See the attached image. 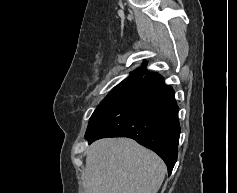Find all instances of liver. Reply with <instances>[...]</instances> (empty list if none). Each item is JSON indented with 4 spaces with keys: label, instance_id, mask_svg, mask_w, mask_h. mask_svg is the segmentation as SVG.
<instances>
[{
    "label": "liver",
    "instance_id": "obj_1",
    "mask_svg": "<svg viewBox=\"0 0 237 193\" xmlns=\"http://www.w3.org/2000/svg\"><path fill=\"white\" fill-rule=\"evenodd\" d=\"M166 166L153 151L129 138H107L86 150L85 193H157Z\"/></svg>",
    "mask_w": 237,
    "mask_h": 193
}]
</instances>
